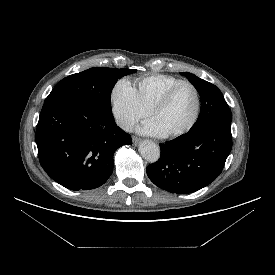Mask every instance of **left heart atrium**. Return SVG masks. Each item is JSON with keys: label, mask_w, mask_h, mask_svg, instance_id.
Wrapping results in <instances>:
<instances>
[{"label": "left heart atrium", "mask_w": 275, "mask_h": 275, "mask_svg": "<svg viewBox=\"0 0 275 275\" xmlns=\"http://www.w3.org/2000/svg\"><path fill=\"white\" fill-rule=\"evenodd\" d=\"M139 132L146 135H152V136H164L165 133L161 129V127L158 125V123L154 119H150L146 122H144L139 127Z\"/></svg>", "instance_id": "39dd6f15"}]
</instances>
